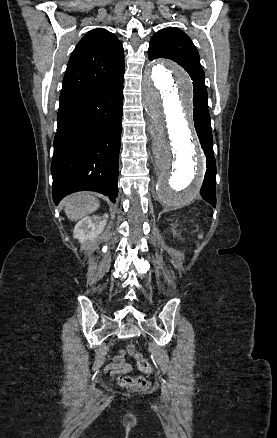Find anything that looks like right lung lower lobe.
<instances>
[{"mask_svg": "<svg viewBox=\"0 0 277 438\" xmlns=\"http://www.w3.org/2000/svg\"><path fill=\"white\" fill-rule=\"evenodd\" d=\"M124 72L60 100L51 164L56 204L76 191L118 195Z\"/></svg>", "mask_w": 277, "mask_h": 438, "instance_id": "obj_1", "label": "right lung lower lobe"}]
</instances>
